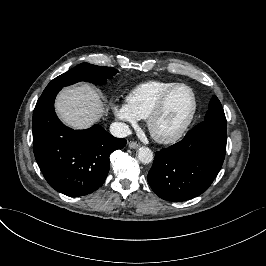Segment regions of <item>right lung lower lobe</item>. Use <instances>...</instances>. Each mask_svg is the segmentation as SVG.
Segmentation results:
<instances>
[{
  "mask_svg": "<svg viewBox=\"0 0 266 266\" xmlns=\"http://www.w3.org/2000/svg\"><path fill=\"white\" fill-rule=\"evenodd\" d=\"M61 88L43 92L33 112V150L49 185L71 197L87 195L105 181L110 154L126 145L99 125L73 130L58 119L54 100Z\"/></svg>",
  "mask_w": 266,
  "mask_h": 266,
  "instance_id": "98d812e1",
  "label": "right lung lower lobe"
}]
</instances>
